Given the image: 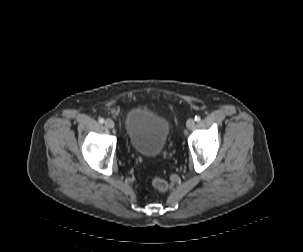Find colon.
Segmentation results:
<instances>
[{"label":"colon","instance_id":"5ec220e1","mask_svg":"<svg viewBox=\"0 0 303 252\" xmlns=\"http://www.w3.org/2000/svg\"><path fill=\"white\" fill-rule=\"evenodd\" d=\"M152 184L154 188L161 193L166 192L169 187L168 182L162 178H154Z\"/></svg>","mask_w":303,"mask_h":252}]
</instances>
